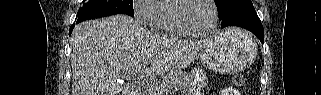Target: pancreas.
I'll list each match as a JSON object with an SVG mask.
<instances>
[{
    "label": "pancreas",
    "mask_w": 321,
    "mask_h": 95,
    "mask_svg": "<svg viewBox=\"0 0 321 95\" xmlns=\"http://www.w3.org/2000/svg\"><path fill=\"white\" fill-rule=\"evenodd\" d=\"M160 82L157 88L148 87L145 95H165L171 90H187L190 87L188 75L180 71L168 73Z\"/></svg>",
    "instance_id": "pancreas-1"
}]
</instances>
